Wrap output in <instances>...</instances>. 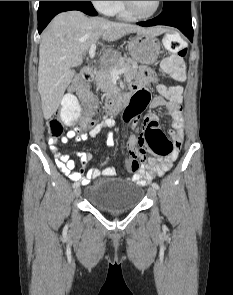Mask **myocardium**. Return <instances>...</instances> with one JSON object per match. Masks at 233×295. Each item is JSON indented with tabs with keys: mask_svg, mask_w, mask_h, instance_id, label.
Listing matches in <instances>:
<instances>
[{
	"mask_svg": "<svg viewBox=\"0 0 233 295\" xmlns=\"http://www.w3.org/2000/svg\"><path fill=\"white\" fill-rule=\"evenodd\" d=\"M123 4H124V7L126 9V11L133 17V18H136V19H149L153 16H155L157 14V12L159 11L160 9V6H161V1H157L156 2V7L155 9L148 15H140L138 14L134 8H133V5H132V2L131 1H123Z\"/></svg>",
	"mask_w": 233,
	"mask_h": 295,
	"instance_id": "myocardium-1",
	"label": "myocardium"
}]
</instances>
